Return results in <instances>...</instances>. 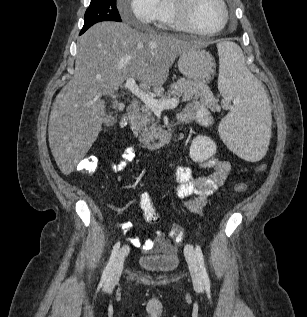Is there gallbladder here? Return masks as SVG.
<instances>
[{
  "instance_id": "gallbladder-1",
  "label": "gallbladder",
  "mask_w": 307,
  "mask_h": 317,
  "mask_svg": "<svg viewBox=\"0 0 307 317\" xmlns=\"http://www.w3.org/2000/svg\"><path fill=\"white\" fill-rule=\"evenodd\" d=\"M112 116L111 115H107L106 117H105V124L107 125V126H109L111 123H112Z\"/></svg>"
}]
</instances>
